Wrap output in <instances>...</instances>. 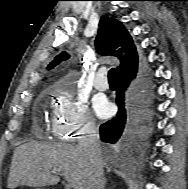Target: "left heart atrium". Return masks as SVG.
Returning a JSON list of instances; mask_svg holds the SVG:
<instances>
[{"instance_id": "1", "label": "left heart atrium", "mask_w": 188, "mask_h": 189, "mask_svg": "<svg viewBox=\"0 0 188 189\" xmlns=\"http://www.w3.org/2000/svg\"><path fill=\"white\" fill-rule=\"evenodd\" d=\"M93 107L97 115L101 118H107L112 113L111 104L102 96H97L94 99Z\"/></svg>"}]
</instances>
